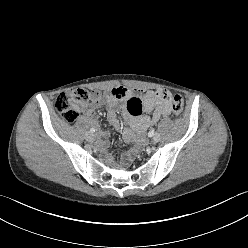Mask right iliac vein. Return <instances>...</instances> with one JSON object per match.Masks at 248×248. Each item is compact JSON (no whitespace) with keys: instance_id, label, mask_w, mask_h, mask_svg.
Instances as JSON below:
<instances>
[{"instance_id":"63e3f726","label":"right iliac vein","mask_w":248,"mask_h":248,"mask_svg":"<svg viewBox=\"0 0 248 248\" xmlns=\"http://www.w3.org/2000/svg\"><path fill=\"white\" fill-rule=\"evenodd\" d=\"M85 138L87 141L92 142L94 140V135L92 133L88 132V133H86Z\"/></svg>"}]
</instances>
